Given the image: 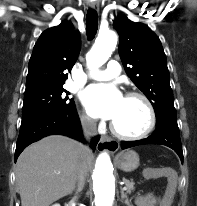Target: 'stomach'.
I'll list each match as a JSON object with an SVG mask.
<instances>
[{"label": "stomach", "instance_id": "obj_1", "mask_svg": "<svg viewBox=\"0 0 197 206\" xmlns=\"http://www.w3.org/2000/svg\"><path fill=\"white\" fill-rule=\"evenodd\" d=\"M115 163L124 172H132L139 167V155L133 151H123L115 156Z\"/></svg>", "mask_w": 197, "mask_h": 206}]
</instances>
